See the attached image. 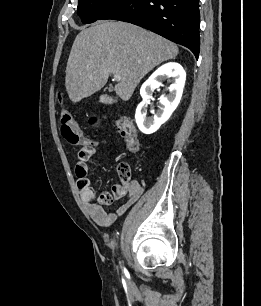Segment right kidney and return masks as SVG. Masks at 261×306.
Here are the masks:
<instances>
[{"label": "right kidney", "mask_w": 261, "mask_h": 306, "mask_svg": "<svg viewBox=\"0 0 261 306\" xmlns=\"http://www.w3.org/2000/svg\"><path fill=\"white\" fill-rule=\"evenodd\" d=\"M172 79L169 87V94L162 95L159 102L162 107L154 114L153 118L146 117V107L154 89L161 85L159 79ZM186 73L183 67L175 62H170L159 67L150 78L142 85L140 94L142 102L138 105L135 114V120L138 128L144 134L156 132L172 115L180 103L183 88L185 85Z\"/></svg>", "instance_id": "obj_1"}]
</instances>
